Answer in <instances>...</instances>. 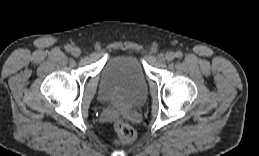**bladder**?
<instances>
[{"label":"bladder","mask_w":259,"mask_h":156,"mask_svg":"<svg viewBox=\"0 0 259 156\" xmlns=\"http://www.w3.org/2000/svg\"><path fill=\"white\" fill-rule=\"evenodd\" d=\"M147 91L148 76L138 56L117 55L106 63L100 80L101 98L134 107L144 101Z\"/></svg>","instance_id":"bladder-1"}]
</instances>
